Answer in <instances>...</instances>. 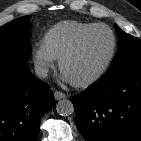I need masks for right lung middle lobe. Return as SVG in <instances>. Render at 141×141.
<instances>
[{"label": "right lung middle lobe", "instance_id": "obj_1", "mask_svg": "<svg viewBox=\"0 0 141 141\" xmlns=\"http://www.w3.org/2000/svg\"><path fill=\"white\" fill-rule=\"evenodd\" d=\"M29 19L23 16L0 27V61L26 60L30 56Z\"/></svg>", "mask_w": 141, "mask_h": 141}]
</instances>
